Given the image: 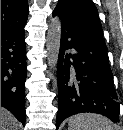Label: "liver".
<instances>
[{
    "mask_svg": "<svg viewBox=\"0 0 123 130\" xmlns=\"http://www.w3.org/2000/svg\"><path fill=\"white\" fill-rule=\"evenodd\" d=\"M19 122L5 108L1 107V130H18Z\"/></svg>",
    "mask_w": 123,
    "mask_h": 130,
    "instance_id": "liver-1",
    "label": "liver"
}]
</instances>
